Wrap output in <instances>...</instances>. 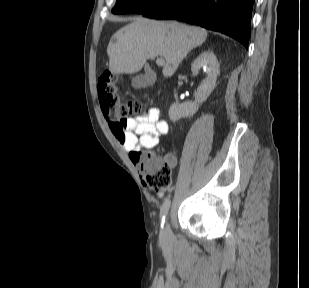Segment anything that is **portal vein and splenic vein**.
I'll return each mask as SVG.
<instances>
[{
    "mask_svg": "<svg viewBox=\"0 0 309 288\" xmlns=\"http://www.w3.org/2000/svg\"><path fill=\"white\" fill-rule=\"evenodd\" d=\"M156 64H157L158 66H164V65H165V60H164L162 57H158V58L156 59Z\"/></svg>",
    "mask_w": 309,
    "mask_h": 288,
    "instance_id": "1",
    "label": "portal vein and splenic vein"
}]
</instances>
